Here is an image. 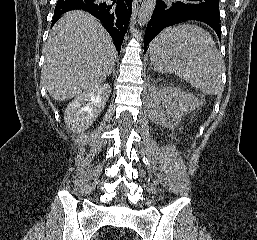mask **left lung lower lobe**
I'll return each instance as SVG.
<instances>
[{
    "instance_id": "left-lung-lower-lobe-1",
    "label": "left lung lower lobe",
    "mask_w": 257,
    "mask_h": 240,
    "mask_svg": "<svg viewBox=\"0 0 257 240\" xmlns=\"http://www.w3.org/2000/svg\"><path fill=\"white\" fill-rule=\"evenodd\" d=\"M188 21L208 25L221 39L219 0H157L145 31L144 51L163 29Z\"/></svg>"
}]
</instances>
